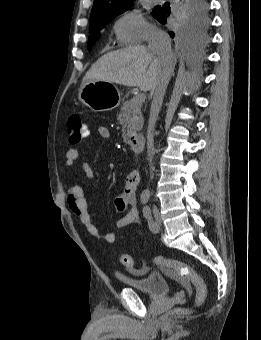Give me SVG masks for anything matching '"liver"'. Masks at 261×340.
Listing matches in <instances>:
<instances>
[{"label":"liver","mask_w":261,"mask_h":340,"mask_svg":"<svg viewBox=\"0 0 261 340\" xmlns=\"http://www.w3.org/2000/svg\"><path fill=\"white\" fill-rule=\"evenodd\" d=\"M173 63V55L160 58L143 45L130 46L100 57L85 74L83 84L100 80L152 91L162 73L172 69Z\"/></svg>","instance_id":"liver-1"}]
</instances>
